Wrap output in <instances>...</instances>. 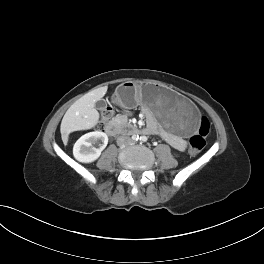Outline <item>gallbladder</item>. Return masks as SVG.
<instances>
[{"label":"gallbladder","instance_id":"1","mask_svg":"<svg viewBox=\"0 0 264 264\" xmlns=\"http://www.w3.org/2000/svg\"><path fill=\"white\" fill-rule=\"evenodd\" d=\"M95 107L97 109H104L106 107V101L104 99H101L100 101H97L95 103Z\"/></svg>","mask_w":264,"mask_h":264}]
</instances>
